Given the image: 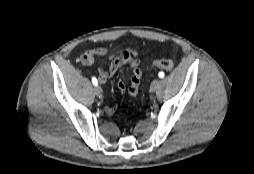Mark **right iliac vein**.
<instances>
[{
	"label": "right iliac vein",
	"instance_id": "63e3f726",
	"mask_svg": "<svg viewBox=\"0 0 254 174\" xmlns=\"http://www.w3.org/2000/svg\"><path fill=\"white\" fill-rule=\"evenodd\" d=\"M94 93H95V95H96L97 97H101V95H102V89H101V87H100V86H96V87L94 88Z\"/></svg>",
	"mask_w": 254,
	"mask_h": 174
}]
</instances>
